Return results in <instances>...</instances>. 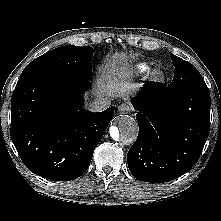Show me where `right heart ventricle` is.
Listing matches in <instances>:
<instances>
[{
  "label": "right heart ventricle",
  "mask_w": 221,
  "mask_h": 221,
  "mask_svg": "<svg viewBox=\"0 0 221 221\" xmlns=\"http://www.w3.org/2000/svg\"><path fill=\"white\" fill-rule=\"evenodd\" d=\"M137 68H138V71H139V72H145V71H147L150 67H149L148 64L142 63V64H139V65L137 66Z\"/></svg>",
  "instance_id": "obj_1"
}]
</instances>
